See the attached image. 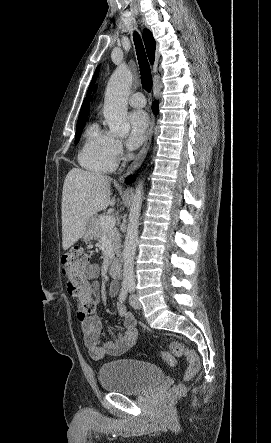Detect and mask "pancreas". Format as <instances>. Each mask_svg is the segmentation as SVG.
I'll return each instance as SVG.
<instances>
[{
    "label": "pancreas",
    "instance_id": "obj_1",
    "mask_svg": "<svg viewBox=\"0 0 271 443\" xmlns=\"http://www.w3.org/2000/svg\"><path fill=\"white\" fill-rule=\"evenodd\" d=\"M101 218H104V214H100V216H97L95 222H94V239H101L103 235H107L108 239H110L112 243V247L114 251H119L120 243L118 241L119 239V233L118 229L116 227H109V229H105V227H102L101 225Z\"/></svg>",
    "mask_w": 271,
    "mask_h": 443
}]
</instances>
